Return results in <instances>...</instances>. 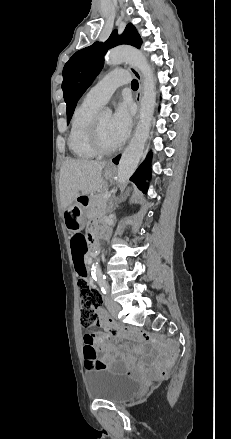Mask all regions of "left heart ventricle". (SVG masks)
Returning <instances> with one entry per match:
<instances>
[{
	"label": "left heart ventricle",
	"mask_w": 231,
	"mask_h": 439,
	"mask_svg": "<svg viewBox=\"0 0 231 439\" xmlns=\"http://www.w3.org/2000/svg\"><path fill=\"white\" fill-rule=\"evenodd\" d=\"M98 121H99V129H100V136L102 143L106 147L116 146L117 144L113 139L110 129L111 117L106 114H100L98 115Z\"/></svg>",
	"instance_id": "obj_1"
}]
</instances>
